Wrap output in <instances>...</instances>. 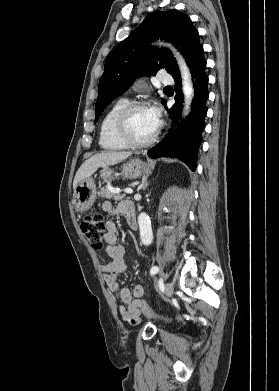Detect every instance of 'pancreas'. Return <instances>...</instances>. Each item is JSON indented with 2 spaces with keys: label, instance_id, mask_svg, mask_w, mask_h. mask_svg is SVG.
I'll use <instances>...</instances> for the list:
<instances>
[{
  "label": "pancreas",
  "instance_id": "pancreas-1",
  "mask_svg": "<svg viewBox=\"0 0 279 391\" xmlns=\"http://www.w3.org/2000/svg\"><path fill=\"white\" fill-rule=\"evenodd\" d=\"M99 195H100L102 198L114 199V200H116V201H120V200H122L123 198H125V194H121V193H118V192H114V191L110 190L108 186L102 187V188L100 189Z\"/></svg>",
  "mask_w": 279,
  "mask_h": 391
}]
</instances>
